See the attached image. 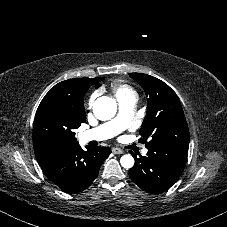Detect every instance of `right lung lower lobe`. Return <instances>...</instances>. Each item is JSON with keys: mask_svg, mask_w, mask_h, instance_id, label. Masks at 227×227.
<instances>
[{"mask_svg": "<svg viewBox=\"0 0 227 227\" xmlns=\"http://www.w3.org/2000/svg\"><path fill=\"white\" fill-rule=\"evenodd\" d=\"M110 153L111 149L106 147H91L84 151L77 144L38 163L50 181L62 191L75 194L93 183L101 164Z\"/></svg>", "mask_w": 227, "mask_h": 227, "instance_id": "98d812e1", "label": "right lung lower lobe"}]
</instances>
